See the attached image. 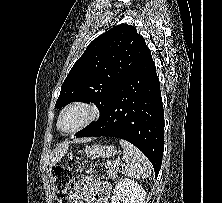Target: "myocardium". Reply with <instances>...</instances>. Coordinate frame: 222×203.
Masks as SVG:
<instances>
[{
  "instance_id": "1",
  "label": "myocardium",
  "mask_w": 222,
  "mask_h": 203,
  "mask_svg": "<svg viewBox=\"0 0 222 203\" xmlns=\"http://www.w3.org/2000/svg\"><path fill=\"white\" fill-rule=\"evenodd\" d=\"M75 108L83 109L86 112V118L80 124H78L76 127L72 128L70 130H62L60 128V121H61L62 117L64 116V114L66 112H68L71 109H75ZM99 115H100L99 108L96 105H94L93 103L88 102V101H84V100L72 101V102L68 103L67 105H65L63 107V109L61 110V112L59 113L56 126H57L58 131H60L61 133L72 134V133H75V132L91 125L93 122H95L98 119Z\"/></svg>"
}]
</instances>
